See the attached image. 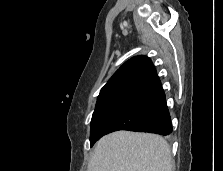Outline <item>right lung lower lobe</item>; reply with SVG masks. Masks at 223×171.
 Wrapping results in <instances>:
<instances>
[{
  "label": "right lung lower lobe",
  "instance_id": "right-lung-lower-lobe-1",
  "mask_svg": "<svg viewBox=\"0 0 223 171\" xmlns=\"http://www.w3.org/2000/svg\"><path fill=\"white\" fill-rule=\"evenodd\" d=\"M118 130L150 132L160 135H169L172 132L171 118L161 83L136 97L107 125L102 136Z\"/></svg>",
  "mask_w": 223,
  "mask_h": 171
}]
</instances>
